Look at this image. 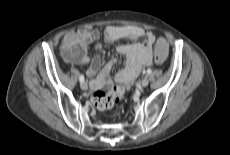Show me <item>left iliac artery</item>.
<instances>
[{
	"label": "left iliac artery",
	"instance_id": "1",
	"mask_svg": "<svg viewBox=\"0 0 230 155\" xmlns=\"http://www.w3.org/2000/svg\"><path fill=\"white\" fill-rule=\"evenodd\" d=\"M150 73H151V70H150V69H148V70H147V74H150Z\"/></svg>",
	"mask_w": 230,
	"mask_h": 155
}]
</instances>
